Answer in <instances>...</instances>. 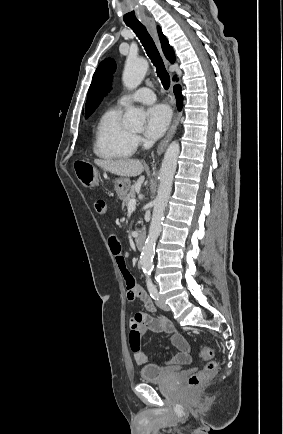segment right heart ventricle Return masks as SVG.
<instances>
[{"label":"right heart ventricle","mask_w":283,"mask_h":434,"mask_svg":"<svg viewBox=\"0 0 283 434\" xmlns=\"http://www.w3.org/2000/svg\"><path fill=\"white\" fill-rule=\"evenodd\" d=\"M121 116V108L113 107L100 117L93 140V152L97 157L104 160H122L134 154V136L122 125Z\"/></svg>","instance_id":"obj_1"}]
</instances>
